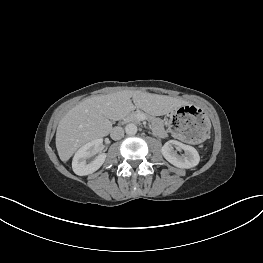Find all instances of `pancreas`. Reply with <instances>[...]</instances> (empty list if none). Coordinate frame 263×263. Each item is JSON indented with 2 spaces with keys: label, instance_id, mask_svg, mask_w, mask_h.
<instances>
[{
  "label": "pancreas",
  "instance_id": "pancreas-1",
  "mask_svg": "<svg viewBox=\"0 0 263 263\" xmlns=\"http://www.w3.org/2000/svg\"><path fill=\"white\" fill-rule=\"evenodd\" d=\"M138 114H144V113L140 110L132 111L124 117V121L138 122L139 121V119L137 117ZM144 115L151 122L153 133L156 135H159L164 129L163 128V121L160 120L159 118H155V117L150 116L148 114H144Z\"/></svg>",
  "mask_w": 263,
  "mask_h": 263
}]
</instances>
